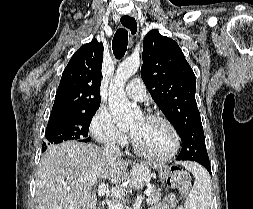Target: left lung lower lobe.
Instances as JSON below:
<instances>
[{
	"label": "left lung lower lobe",
	"mask_w": 253,
	"mask_h": 209,
	"mask_svg": "<svg viewBox=\"0 0 253 209\" xmlns=\"http://www.w3.org/2000/svg\"><path fill=\"white\" fill-rule=\"evenodd\" d=\"M195 161L200 163L201 165H203L208 170V172L211 173V167H210V164H209V159H198V160H195Z\"/></svg>",
	"instance_id": "obj_1"
}]
</instances>
